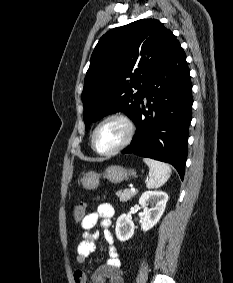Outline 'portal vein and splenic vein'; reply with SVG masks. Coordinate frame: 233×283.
<instances>
[{"instance_id": "18ae733b", "label": "portal vein and splenic vein", "mask_w": 233, "mask_h": 283, "mask_svg": "<svg viewBox=\"0 0 233 283\" xmlns=\"http://www.w3.org/2000/svg\"><path fill=\"white\" fill-rule=\"evenodd\" d=\"M131 191H132V192H136V189L132 187V188H131Z\"/></svg>"}]
</instances>
